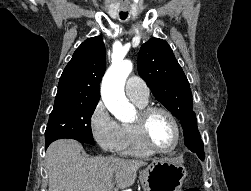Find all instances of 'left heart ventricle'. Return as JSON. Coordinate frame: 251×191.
Instances as JSON below:
<instances>
[{
	"instance_id": "obj_1",
	"label": "left heart ventricle",
	"mask_w": 251,
	"mask_h": 191,
	"mask_svg": "<svg viewBox=\"0 0 251 191\" xmlns=\"http://www.w3.org/2000/svg\"><path fill=\"white\" fill-rule=\"evenodd\" d=\"M140 114L135 119L138 120ZM148 135L152 144L160 151H172L178 142V135L172 120L161 112H156L150 119Z\"/></svg>"
}]
</instances>
